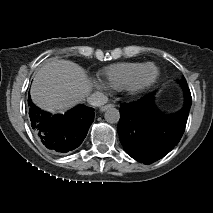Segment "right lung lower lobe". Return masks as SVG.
Here are the masks:
<instances>
[{"label":"right lung lower lobe","instance_id":"right-lung-lower-lobe-1","mask_svg":"<svg viewBox=\"0 0 213 213\" xmlns=\"http://www.w3.org/2000/svg\"><path fill=\"white\" fill-rule=\"evenodd\" d=\"M28 105L35 134L47 148L62 153L73 150L82 143L94 120V109L83 105L71 109L64 115H52L42 111L32 103L30 96Z\"/></svg>","mask_w":213,"mask_h":213}]
</instances>
